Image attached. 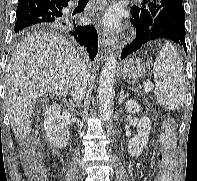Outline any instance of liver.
<instances>
[{
  "label": "liver",
  "instance_id": "1",
  "mask_svg": "<svg viewBox=\"0 0 197 181\" xmlns=\"http://www.w3.org/2000/svg\"><path fill=\"white\" fill-rule=\"evenodd\" d=\"M83 61L59 34L39 32L17 44L5 76V101L16 137L31 131L33 104L46 92L66 96Z\"/></svg>",
  "mask_w": 197,
  "mask_h": 181
}]
</instances>
